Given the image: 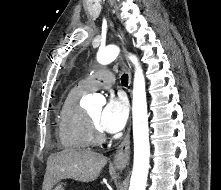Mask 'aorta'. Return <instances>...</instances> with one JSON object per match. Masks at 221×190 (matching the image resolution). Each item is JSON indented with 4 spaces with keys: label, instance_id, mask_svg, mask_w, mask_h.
Here are the masks:
<instances>
[{
    "label": "aorta",
    "instance_id": "aorta-1",
    "mask_svg": "<svg viewBox=\"0 0 221 190\" xmlns=\"http://www.w3.org/2000/svg\"><path fill=\"white\" fill-rule=\"evenodd\" d=\"M119 53V47L110 45L98 51L97 61L103 65L109 64L118 57ZM129 59L135 66L132 100L134 163L129 190H145L150 158L145 79L137 57L130 55ZM88 100L95 103L105 101L98 95L89 96Z\"/></svg>",
    "mask_w": 221,
    "mask_h": 190
}]
</instances>
